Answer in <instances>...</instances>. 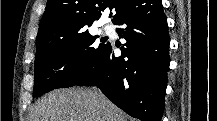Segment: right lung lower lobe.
Listing matches in <instances>:
<instances>
[{"instance_id": "1", "label": "right lung lower lobe", "mask_w": 217, "mask_h": 121, "mask_svg": "<svg viewBox=\"0 0 217 121\" xmlns=\"http://www.w3.org/2000/svg\"><path fill=\"white\" fill-rule=\"evenodd\" d=\"M116 25L122 56L108 43L98 62L74 85H96L115 105L142 121H160L169 67L167 19L161 0H141ZM126 57L127 59H124Z\"/></svg>"}]
</instances>
